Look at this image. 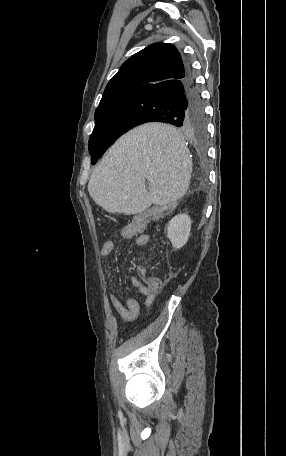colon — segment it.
Segmentation results:
<instances>
[{
    "instance_id": "5ec220e1",
    "label": "colon",
    "mask_w": 286,
    "mask_h": 456,
    "mask_svg": "<svg viewBox=\"0 0 286 456\" xmlns=\"http://www.w3.org/2000/svg\"><path fill=\"white\" fill-rule=\"evenodd\" d=\"M148 222L147 217H139L133 220L127 227L124 228V233L132 236L137 233H140L144 230L146 224ZM135 279L138 283L145 284L150 290L158 291L161 289L163 281L159 277L149 276L147 277L146 271L143 268H139L137 270Z\"/></svg>"
}]
</instances>
